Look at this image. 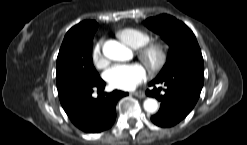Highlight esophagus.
Returning a JSON list of instances; mask_svg holds the SVG:
<instances>
[{
    "label": "esophagus",
    "instance_id": "esophagus-1",
    "mask_svg": "<svg viewBox=\"0 0 247 145\" xmlns=\"http://www.w3.org/2000/svg\"><path fill=\"white\" fill-rule=\"evenodd\" d=\"M133 95H135L138 98H144L145 97V93L143 91H135L133 93Z\"/></svg>",
    "mask_w": 247,
    "mask_h": 145
}]
</instances>
